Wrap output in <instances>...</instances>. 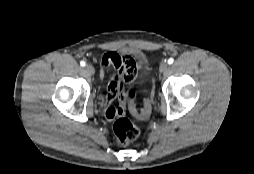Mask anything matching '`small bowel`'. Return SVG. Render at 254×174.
Returning <instances> with one entry per match:
<instances>
[{"mask_svg": "<svg viewBox=\"0 0 254 174\" xmlns=\"http://www.w3.org/2000/svg\"><path fill=\"white\" fill-rule=\"evenodd\" d=\"M145 64L144 58L134 54H119L110 52L101 60V77L108 79V93L104 97L105 116L108 119L116 117L110 104L119 98L123 100V86L131 82L141 72ZM113 70V72H111Z\"/></svg>", "mask_w": 254, "mask_h": 174, "instance_id": "obj_1", "label": "small bowel"}]
</instances>
